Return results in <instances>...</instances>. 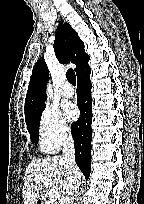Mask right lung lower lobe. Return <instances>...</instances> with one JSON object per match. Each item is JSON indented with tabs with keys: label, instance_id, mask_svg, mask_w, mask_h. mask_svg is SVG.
I'll return each instance as SVG.
<instances>
[{
	"label": "right lung lower lobe",
	"instance_id": "right-lung-lower-lobe-1",
	"mask_svg": "<svg viewBox=\"0 0 144 204\" xmlns=\"http://www.w3.org/2000/svg\"><path fill=\"white\" fill-rule=\"evenodd\" d=\"M90 68H86L77 75V104L80 109V117L72 123V136L75 145L76 164L88 179L91 171V122H92V98Z\"/></svg>",
	"mask_w": 144,
	"mask_h": 204
}]
</instances>
